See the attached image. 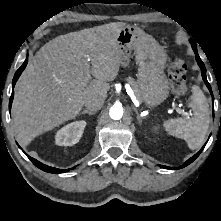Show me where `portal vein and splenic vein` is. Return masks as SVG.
Listing matches in <instances>:
<instances>
[{
    "label": "portal vein and splenic vein",
    "instance_id": "1",
    "mask_svg": "<svg viewBox=\"0 0 221 221\" xmlns=\"http://www.w3.org/2000/svg\"><path fill=\"white\" fill-rule=\"evenodd\" d=\"M87 61H90L89 56H87ZM90 78H91L90 71H89V69H88V67H87L86 79L89 80ZM173 109H174L177 113H179V114H182V115L185 114L184 110H182L181 108H179V107H177V106H174Z\"/></svg>",
    "mask_w": 221,
    "mask_h": 221
}]
</instances>
